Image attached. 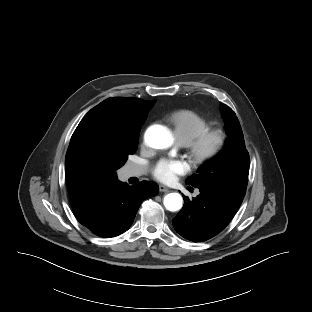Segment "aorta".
Segmentation results:
<instances>
[{"label": "aorta", "mask_w": 312, "mask_h": 312, "mask_svg": "<svg viewBox=\"0 0 312 312\" xmlns=\"http://www.w3.org/2000/svg\"><path fill=\"white\" fill-rule=\"evenodd\" d=\"M147 144L156 149H165L172 145L173 138L170 131L161 125H153L146 131ZM183 198L179 193H170L164 197V206L169 211H178L182 208Z\"/></svg>", "instance_id": "762f6f07"}]
</instances>
